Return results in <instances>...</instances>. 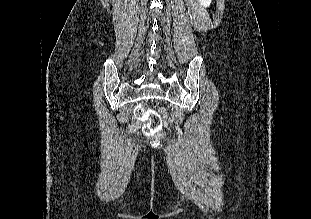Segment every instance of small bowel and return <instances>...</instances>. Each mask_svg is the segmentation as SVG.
Returning <instances> with one entry per match:
<instances>
[{"instance_id":"c3829d8e","label":"small bowel","mask_w":311,"mask_h":219,"mask_svg":"<svg viewBox=\"0 0 311 219\" xmlns=\"http://www.w3.org/2000/svg\"><path fill=\"white\" fill-rule=\"evenodd\" d=\"M137 127H138V122H137V121L133 122L132 128H133V129H136Z\"/></svg>"}]
</instances>
